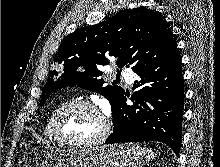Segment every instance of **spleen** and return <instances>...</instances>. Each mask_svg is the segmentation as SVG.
<instances>
[{
    "label": "spleen",
    "instance_id": "spleen-1",
    "mask_svg": "<svg viewBox=\"0 0 220 167\" xmlns=\"http://www.w3.org/2000/svg\"><path fill=\"white\" fill-rule=\"evenodd\" d=\"M142 151H143L144 155L146 156V160H148V161L153 160L154 157L156 156V154L149 149L143 148Z\"/></svg>",
    "mask_w": 220,
    "mask_h": 167
}]
</instances>
